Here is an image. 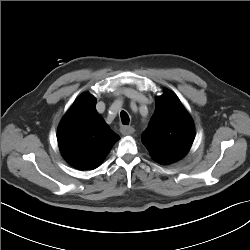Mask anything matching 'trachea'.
I'll list each match as a JSON object with an SVG mask.
<instances>
[{
	"label": "trachea",
	"instance_id": "3493384b",
	"mask_svg": "<svg viewBox=\"0 0 250 250\" xmlns=\"http://www.w3.org/2000/svg\"><path fill=\"white\" fill-rule=\"evenodd\" d=\"M120 116H121L122 123L127 125L130 120L128 114L125 111H121Z\"/></svg>",
	"mask_w": 250,
	"mask_h": 250
}]
</instances>
